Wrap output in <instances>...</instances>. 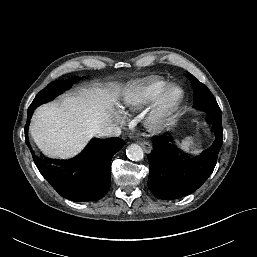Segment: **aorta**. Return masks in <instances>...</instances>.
<instances>
[{
    "mask_svg": "<svg viewBox=\"0 0 257 257\" xmlns=\"http://www.w3.org/2000/svg\"><path fill=\"white\" fill-rule=\"evenodd\" d=\"M127 157L132 161H140L143 159V149L137 144H131L126 149Z\"/></svg>",
    "mask_w": 257,
    "mask_h": 257,
    "instance_id": "1",
    "label": "aorta"
}]
</instances>
